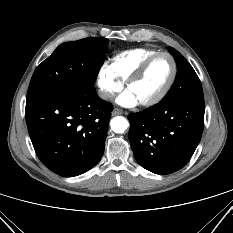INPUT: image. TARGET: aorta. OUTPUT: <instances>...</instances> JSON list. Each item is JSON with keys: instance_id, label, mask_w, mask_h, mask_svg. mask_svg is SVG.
<instances>
[{"instance_id": "obj_1", "label": "aorta", "mask_w": 233, "mask_h": 233, "mask_svg": "<svg viewBox=\"0 0 233 233\" xmlns=\"http://www.w3.org/2000/svg\"><path fill=\"white\" fill-rule=\"evenodd\" d=\"M110 125H111V129L115 133H124L125 130L128 128L129 123L126 118L122 116H117L111 120Z\"/></svg>"}]
</instances>
